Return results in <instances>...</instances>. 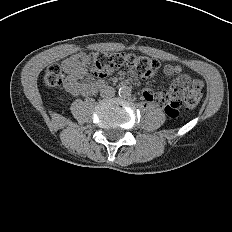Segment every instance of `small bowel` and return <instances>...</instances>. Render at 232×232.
Listing matches in <instances>:
<instances>
[{
  "mask_svg": "<svg viewBox=\"0 0 232 232\" xmlns=\"http://www.w3.org/2000/svg\"><path fill=\"white\" fill-rule=\"evenodd\" d=\"M64 70L68 74L66 82H65V88L66 90L71 93L72 95H89L88 92V85L89 84H84L79 82L80 79H82L86 75V70L83 68L81 65H78L75 62V58H71L66 60L64 63ZM182 72V68L179 65H171L167 64L163 67V73L167 76H172V75H178ZM181 77H187L186 75H182ZM190 80V78H189ZM192 86L198 87L202 89L203 87V82L199 79H193L190 80ZM160 93H153L149 89H144L142 92V97L144 100L148 102H155V97Z\"/></svg>",
  "mask_w": 232,
  "mask_h": 232,
  "instance_id": "1",
  "label": "small bowel"
}]
</instances>
